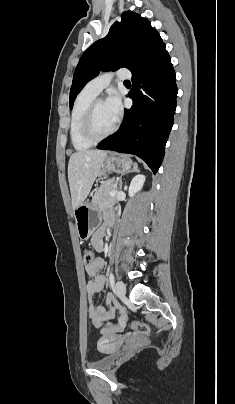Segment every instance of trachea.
<instances>
[{
	"label": "trachea",
	"instance_id": "1",
	"mask_svg": "<svg viewBox=\"0 0 235 404\" xmlns=\"http://www.w3.org/2000/svg\"><path fill=\"white\" fill-rule=\"evenodd\" d=\"M124 83H130L129 80H125Z\"/></svg>",
	"mask_w": 235,
	"mask_h": 404
}]
</instances>
